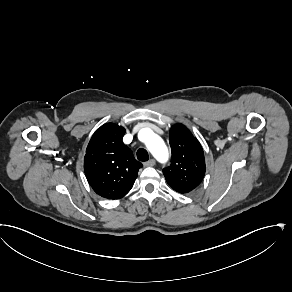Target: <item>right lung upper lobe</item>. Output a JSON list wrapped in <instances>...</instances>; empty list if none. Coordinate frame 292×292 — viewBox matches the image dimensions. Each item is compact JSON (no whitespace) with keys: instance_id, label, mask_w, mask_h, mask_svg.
Segmentation results:
<instances>
[{"instance_id":"obj_1","label":"right lung upper lobe","mask_w":292,"mask_h":292,"mask_svg":"<svg viewBox=\"0 0 292 292\" xmlns=\"http://www.w3.org/2000/svg\"><path fill=\"white\" fill-rule=\"evenodd\" d=\"M125 128L106 123L91 137L84 157V172L93 190L107 199H120L133 187L138 162L122 138Z\"/></svg>"}]
</instances>
